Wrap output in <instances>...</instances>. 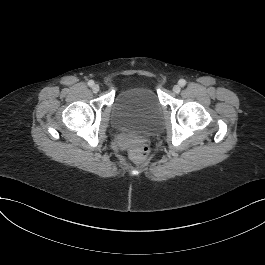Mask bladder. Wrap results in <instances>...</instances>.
Instances as JSON below:
<instances>
[{
  "label": "bladder",
  "instance_id": "bladder-1",
  "mask_svg": "<svg viewBox=\"0 0 265 265\" xmlns=\"http://www.w3.org/2000/svg\"><path fill=\"white\" fill-rule=\"evenodd\" d=\"M114 124L118 127L147 131L161 122L158 98L148 88L133 87L122 90L112 105Z\"/></svg>",
  "mask_w": 265,
  "mask_h": 265
}]
</instances>
